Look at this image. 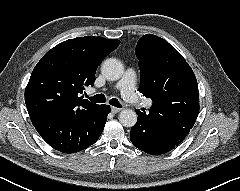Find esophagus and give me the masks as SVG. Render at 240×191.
<instances>
[{
    "instance_id": "esophagus-1",
    "label": "esophagus",
    "mask_w": 240,
    "mask_h": 191,
    "mask_svg": "<svg viewBox=\"0 0 240 191\" xmlns=\"http://www.w3.org/2000/svg\"><path fill=\"white\" fill-rule=\"evenodd\" d=\"M111 111H112V113L116 114V113H118L119 111H121V108L112 107V108H111Z\"/></svg>"
}]
</instances>
